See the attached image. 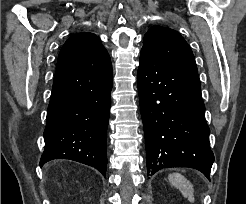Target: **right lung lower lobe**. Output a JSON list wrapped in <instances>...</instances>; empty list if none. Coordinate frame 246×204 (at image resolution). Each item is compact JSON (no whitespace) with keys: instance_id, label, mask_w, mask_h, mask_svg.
<instances>
[{"instance_id":"right-lung-lower-lobe-1","label":"right lung lower lobe","mask_w":246,"mask_h":204,"mask_svg":"<svg viewBox=\"0 0 246 204\" xmlns=\"http://www.w3.org/2000/svg\"><path fill=\"white\" fill-rule=\"evenodd\" d=\"M111 89L112 66L55 73L40 167L53 159H70L106 175Z\"/></svg>"}]
</instances>
